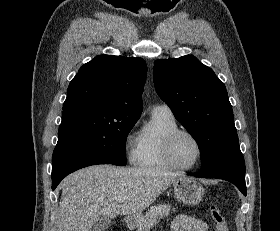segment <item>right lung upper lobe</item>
<instances>
[{
	"mask_svg": "<svg viewBox=\"0 0 280 231\" xmlns=\"http://www.w3.org/2000/svg\"><path fill=\"white\" fill-rule=\"evenodd\" d=\"M147 66L141 58L99 55L72 79L62 120L112 117L138 120Z\"/></svg>",
	"mask_w": 280,
	"mask_h": 231,
	"instance_id": "right-lung-upper-lobe-1",
	"label": "right lung upper lobe"
}]
</instances>
